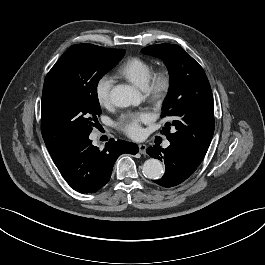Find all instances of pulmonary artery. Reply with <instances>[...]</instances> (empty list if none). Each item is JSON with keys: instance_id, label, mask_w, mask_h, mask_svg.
<instances>
[{"instance_id": "e3ab8cb5", "label": "pulmonary artery", "mask_w": 265, "mask_h": 265, "mask_svg": "<svg viewBox=\"0 0 265 265\" xmlns=\"http://www.w3.org/2000/svg\"><path fill=\"white\" fill-rule=\"evenodd\" d=\"M170 145V143L168 142V141H166L165 143H164V146L165 147H168Z\"/></svg>"}]
</instances>
